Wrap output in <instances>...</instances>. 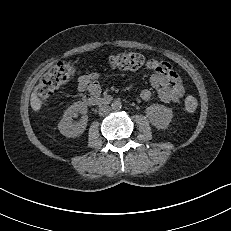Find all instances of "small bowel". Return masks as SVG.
Segmentation results:
<instances>
[{
  "instance_id": "small-bowel-1",
  "label": "small bowel",
  "mask_w": 231,
  "mask_h": 231,
  "mask_svg": "<svg viewBox=\"0 0 231 231\" xmlns=\"http://www.w3.org/2000/svg\"><path fill=\"white\" fill-rule=\"evenodd\" d=\"M145 68L151 72L150 84L162 102H176L182 97L184 88L181 79L168 62L149 59ZM78 89L81 92L99 96L101 93L99 73L81 76L78 80ZM140 96L143 100H149L152 92L149 89H143Z\"/></svg>"
}]
</instances>
